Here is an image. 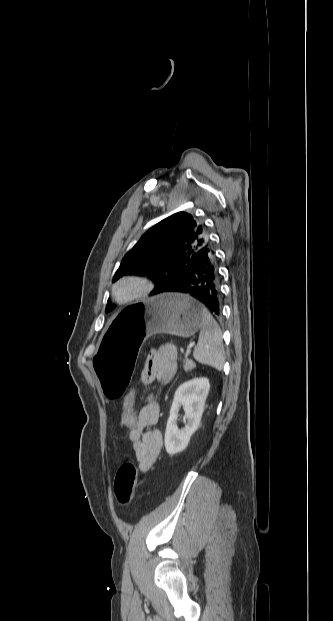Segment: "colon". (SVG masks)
Here are the masks:
<instances>
[{
	"mask_svg": "<svg viewBox=\"0 0 333 621\" xmlns=\"http://www.w3.org/2000/svg\"><path fill=\"white\" fill-rule=\"evenodd\" d=\"M135 390L131 389L124 399L121 410V422L127 428L133 427L138 419V410L135 407ZM137 485V470L133 463L126 462L120 466L116 473L114 490L119 504H129Z\"/></svg>",
	"mask_w": 333,
	"mask_h": 621,
	"instance_id": "1",
	"label": "colon"
}]
</instances>
